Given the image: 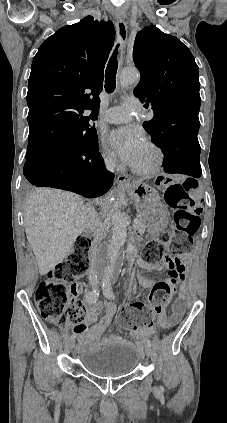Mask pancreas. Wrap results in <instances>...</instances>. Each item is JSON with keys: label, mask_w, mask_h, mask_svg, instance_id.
<instances>
[{"label": "pancreas", "mask_w": 227, "mask_h": 423, "mask_svg": "<svg viewBox=\"0 0 227 423\" xmlns=\"http://www.w3.org/2000/svg\"><path fill=\"white\" fill-rule=\"evenodd\" d=\"M138 223H136L135 227L138 229V231H145L147 225H146V219L141 215V213H138Z\"/></svg>", "instance_id": "obj_1"}]
</instances>
